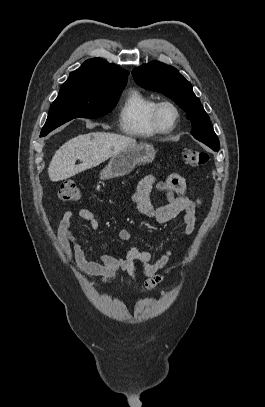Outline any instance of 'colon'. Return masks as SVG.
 Masks as SVG:
<instances>
[{"label": "colon", "mask_w": 265, "mask_h": 407, "mask_svg": "<svg viewBox=\"0 0 265 407\" xmlns=\"http://www.w3.org/2000/svg\"><path fill=\"white\" fill-rule=\"evenodd\" d=\"M183 160L190 166H202L208 161V154L196 149H184L182 152ZM81 190L78 185L72 181L63 182L58 191V199L63 202H76L81 198Z\"/></svg>", "instance_id": "5ec220e1"}]
</instances>
